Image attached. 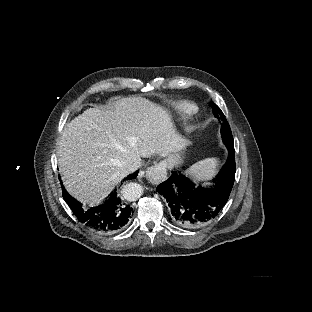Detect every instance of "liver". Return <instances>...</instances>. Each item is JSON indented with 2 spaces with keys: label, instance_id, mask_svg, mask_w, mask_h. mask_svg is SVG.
<instances>
[{
  "label": "liver",
  "instance_id": "1",
  "mask_svg": "<svg viewBox=\"0 0 312 312\" xmlns=\"http://www.w3.org/2000/svg\"><path fill=\"white\" fill-rule=\"evenodd\" d=\"M181 141L165 107L130 96L71 120L57 140L56 155L67 192L93 207L128 175L134 159L169 156Z\"/></svg>",
  "mask_w": 312,
  "mask_h": 312
}]
</instances>
